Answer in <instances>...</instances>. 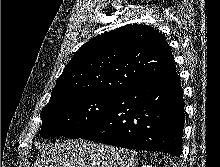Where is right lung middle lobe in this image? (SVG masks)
Instances as JSON below:
<instances>
[{
	"mask_svg": "<svg viewBox=\"0 0 220 167\" xmlns=\"http://www.w3.org/2000/svg\"><path fill=\"white\" fill-rule=\"evenodd\" d=\"M116 94L73 93L54 100L41 112L43 138L63 136L78 139L104 116Z\"/></svg>",
	"mask_w": 220,
	"mask_h": 167,
	"instance_id": "obj_1",
	"label": "right lung middle lobe"
}]
</instances>
